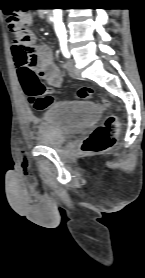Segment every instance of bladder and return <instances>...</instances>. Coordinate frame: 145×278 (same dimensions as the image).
I'll use <instances>...</instances> for the list:
<instances>
[{"mask_svg": "<svg viewBox=\"0 0 145 278\" xmlns=\"http://www.w3.org/2000/svg\"><path fill=\"white\" fill-rule=\"evenodd\" d=\"M43 111L33 141L53 149L63 148L71 137L94 126L100 116L97 105L88 101L55 102Z\"/></svg>", "mask_w": 145, "mask_h": 278, "instance_id": "bladder-1", "label": "bladder"}]
</instances>
